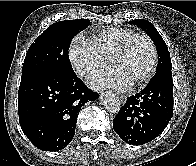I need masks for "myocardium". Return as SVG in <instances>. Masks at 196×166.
Returning <instances> with one entry per match:
<instances>
[{
  "instance_id": "1",
  "label": "myocardium",
  "mask_w": 196,
  "mask_h": 166,
  "mask_svg": "<svg viewBox=\"0 0 196 166\" xmlns=\"http://www.w3.org/2000/svg\"><path fill=\"white\" fill-rule=\"evenodd\" d=\"M137 37L144 38L147 41L151 49L152 59L148 71L141 78H139L137 81L132 83L134 87H139L146 84L155 73L157 62H158V52L153 39L145 32H133L132 34H130L128 37L124 39V41L121 43V45L111 55L109 59L111 63L114 59L123 56L127 52L130 43Z\"/></svg>"
}]
</instances>
